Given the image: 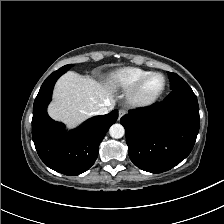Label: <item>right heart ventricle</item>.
<instances>
[{
    "label": "right heart ventricle",
    "mask_w": 224,
    "mask_h": 224,
    "mask_svg": "<svg viewBox=\"0 0 224 224\" xmlns=\"http://www.w3.org/2000/svg\"><path fill=\"white\" fill-rule=\"evenodd\" d=\"M150 72L139 67H124L112 73L110 82L120 89L128 90Z\"/></svg>",
    "instance_id": "right-heart-ventricle-1"
}]
</instances>
